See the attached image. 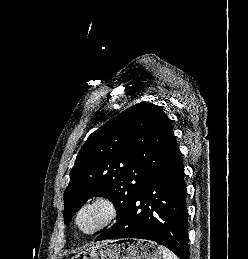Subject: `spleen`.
<instances>
[{"instance_id": "1", "label": "spleen", "mask_w": 248, "mask_h": 259, "mask_svg": "<svg viewBox=\"0 0 248 259\" xmlns=\"http://www.w3.org/2000/svg\"><path fill=\"white\" fill-rule=\"evenodd\" d=\"M159 249L163 254V259H179L173 252H171L164 246H159Z\"/></svg>"}]
</instances>
